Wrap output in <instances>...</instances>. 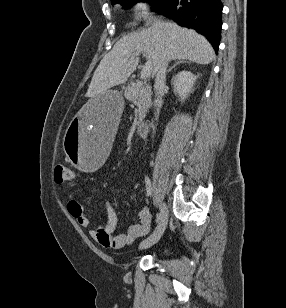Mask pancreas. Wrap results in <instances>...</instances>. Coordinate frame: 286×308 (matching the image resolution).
Instances as JSON below:
<instances>
[{"instance_id":"pancreas-1","label":"pancreas","mask_w":286,"mask_h":308,"mask_svg":"<svg viewBox=\"0 0 286 308\" xmlns=\"http://www.w3.org/2000/svg\"><path fill=\"white\" fill-rule=\"evenodd\" d=\"M151 88L142 81H137L124 91V96L138 107L137 124H140L151 106Z\"/></svg>"}]
</instances>
